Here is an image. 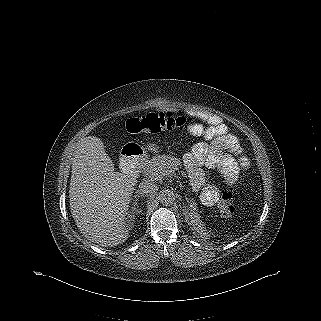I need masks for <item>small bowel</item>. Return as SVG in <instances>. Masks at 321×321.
Returning <instances> with one entry per match:
<instances>
[{"instance_id":"1","label":"small bowel","mask_w":321,"mask_h":321,"mask_svg":"<svg viewBox=\"0 0 321 321\" xmlns=\"http://www.w3.org/2000/svg\"><path fill=\"white\" fill-rule=\"evenodd\" d=\"M190 130L196 134H203L210 144L204 142L195 147V158L189 157L188 160L203 157L204 164L208 168L217 169L225 178L226 183H233L238 175V165L229 156L222 153V149L232 148L236 143L235 138L226 135L224 125L209 126L203 128L201 126H191ZM202 200L205 204H213L216 201L215 196L204 194Z\"/></svg>"}]
</instances>
